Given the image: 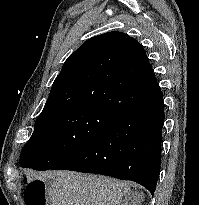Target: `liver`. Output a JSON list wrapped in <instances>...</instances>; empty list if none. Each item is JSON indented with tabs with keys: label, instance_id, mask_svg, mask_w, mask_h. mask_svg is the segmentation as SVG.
Instances as JSON below:
<instances>
[{
	"label": "liver",
	"instance_id": "liver-1",
	"mask_svg": "<svg viewBox=\"0 0 199 205\" xmlns=\"http://www.w3.org/2000/svg\"><path fill=\"white\" fill-rule=\"evenodd\" d=\"M42 179L49 182L50 205H126L129 199L141 197L130 191L128 183L105 176L56 171Z\"/></svg>",
	"mask_w": 199,
	"mask_h": 205
}]
</instances>
